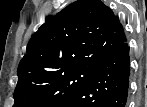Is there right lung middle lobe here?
Wrapping results in <instances>:
<instances>
[{
	"mask_svg": "<svg viewBox=\"0 0 147 107\" xmlns=\"http://www.w3.org/2000/svg\"><path fill=\"white\" fill-rule=\"evenodd\" d=\"M97 67L76 65L18 75L13 107H58L76 93Z\"/></svg>",
	"mask_w": 147,
	"mask_h": 107,
	"instance_id": "obj_1",
	"label": "right lung middle lobe"
}]
</instances>
